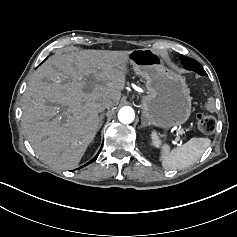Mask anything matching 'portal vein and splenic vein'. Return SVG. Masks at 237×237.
Masks as SVG:
<instances>
[{
  "label": "portal vein and splenic vein",
  "instance_id": "18ae733b",
  "mask_svg": "<svg viewBox=\"0 0 237 237\" xmlns=\"http://www.w3.org/2000/svg\"><path fill=\"white\" fill-rule=\"evenodd\" d=\"M179 132H180V135H181V136H184V130H183V128H180V129H179Z\"/></svg>",
  "mask_w": 237,
  "mask_h": 237
}]
</instances>
